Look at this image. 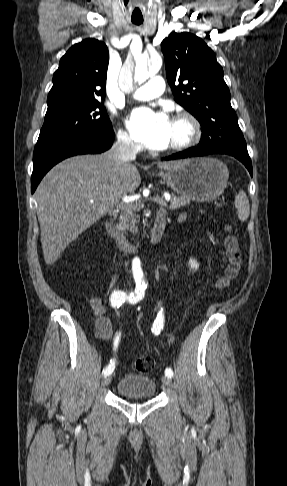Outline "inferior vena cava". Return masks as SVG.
<instances>
[{"label":"inferior vena cava","mask_w":287,"mask_h":486,"mask_svg":"<svg viewBox=\"0 0 287 486\" xmlns=\"http://www.w3.org/2000/svg\"><path fill=\"white\" fill-rule=\"evenodd\" d=\"M138 145L127 135H118L117 141L109 151L112 159L119 165L129 163L136 159Z\"/></svg>","instance_id":"inferior-vena-cava-1"}]
</instances>
